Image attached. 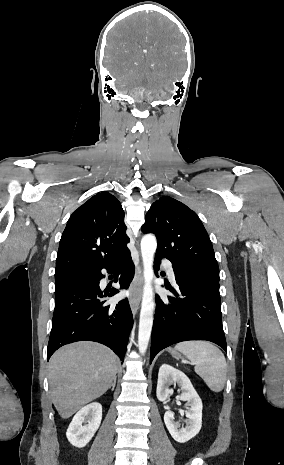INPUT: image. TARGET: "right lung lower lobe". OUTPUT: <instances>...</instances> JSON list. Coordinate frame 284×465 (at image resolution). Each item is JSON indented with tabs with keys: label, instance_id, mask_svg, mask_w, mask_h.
<instances>
[{
	"label": "right lung lower lobe",
	"instance_id": "98d812e1",
	"mask_svg": "<svg viewBox=\"0 0 284 465\" xmlns=\"http://www.w3.org/2000/svg\"><path fill=\"white\" fill-rule=\"evenodd\" d=\"M102 269L114 273L115 282H119L121 288L127 289L134 276L130 251H125ZM101 270L55 287V309L47 360L65 344L89 340L108 346L123 362L128 335L133 326L132 312L127 300H121L117 304H108L103 300L119 290L111 288L101 291L99 283L104 277Z\"/></svg>",
	"mask_w": 284,
	"mask_h": 465
}]
</instances>
